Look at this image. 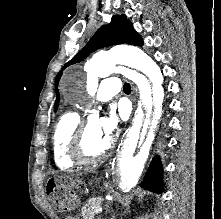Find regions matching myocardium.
Listing matches in <instances>:
<instances>
[{
  "instance_id": "f54148a6",
  "label": "myocardium",
  "mask_w": 221,
  "mask_h": 219,
  "mask_svg": "<svg viewBox=\"0 0 221 219\" xmlns=\"http://www.w3.org/2000/svg\"><path fill=\"white\" fill-rule=\"evenodd\" d=\"M87 123L88 120H82L79 123L71 139L68 150L69 157L74 161L75 164L79 165L92 164L105 159L112 152L115 145L114 139L111 138L106 149L102 153L92 157L85 156L82 147Z\"/></svg>"
}]
</instances>
